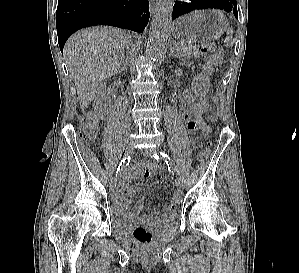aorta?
I'll return each mask as SVG.
<instances>
[{"label":"aorta","mask_w":299,"mask_h":273,"mask_svg":"<svg viewBox=\"0 0 299 273\" xmlns=\"http://www.w3.org/2000/svg\"><path fill=\"white\" fill-rule=\"evenodd\" d=\"M173 3L163 0L159 3L152 18L149 30V42L146 53L151 59L161 57L167 45L172 21Z\"/></svg>","instance_id":"obj_1"}]
</instances>
